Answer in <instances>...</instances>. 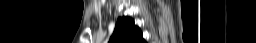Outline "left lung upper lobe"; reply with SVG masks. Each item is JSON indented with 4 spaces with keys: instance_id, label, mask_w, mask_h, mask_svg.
<instances>
[{
    "instance_id": "left-lung-upper-lobe-1",
    "label": "left lung upper lobe",
    "mask_w": 256,
    "mask_h": 43,
    "mask_svg": "<svg viewBox=\"0 0 256 43\" xmlns=\"http://www.w3.org/2000/svg\"><path fill=\"white\" fill-rule=\"evenodd\" d=\"M109 43H146L141 30L130 17H119Z\"/></svg>"
}]
</instances>
